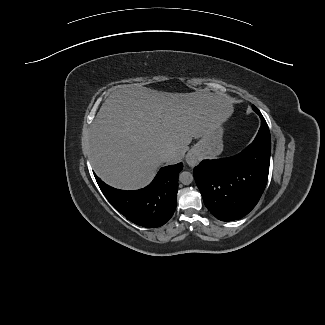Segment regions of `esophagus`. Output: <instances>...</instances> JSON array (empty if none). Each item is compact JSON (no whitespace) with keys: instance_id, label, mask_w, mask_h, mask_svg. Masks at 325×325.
Instances as JSON below:
<instances>
[{"instance_id":"obj_1","label":"esophagus","mask_w":325,"mask_h":325,"mask_svg":"<svg viewBox=\"0 0 325 325\" xmlns=\"http://www.w3.org/2000/svg\"><path fill=\"white\" fill-rule=\"evenodd\" d=\"M185 160L189 166H195L198 163L197 154L193 150H190L187 153Z\"/></svg>"}]
</instances>
